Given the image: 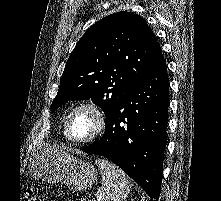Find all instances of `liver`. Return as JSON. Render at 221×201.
<instances>
[{
    "mask_svg": "<svg viewBox=\"0 0 221 201\" xmlns=\"http://www.w3.org/2000/svg\"><path fill=\"white\" fill-rule=\"evenodd\" d=\"M54 150H57V151H63V150H61V149H56V148H53Z\"/></svg>",
    "mask_w": 221,
    "mask_h": 201,
    "instance_id": "liver-1",
    "label": "liver"
}]
</instances>
